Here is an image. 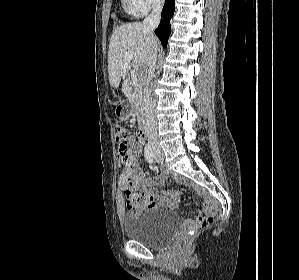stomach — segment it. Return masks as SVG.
<instances>
[{
  "label": "stomach",
  "instance_id": "0dacf381",
  "mask_svg": "<svg viewBox=\"0 0 299 280\" xmlns=\"http://www.w3.org/2000/svg\"><path fill=\"white\" fill-rule=\"evenodd\" d=\"M132 115V108L129 104L121 105L117 108V116L121 120H126Z\"/></svg>",
  "mask_w": 299,
  "mask_h": 280
}]
</instances>
